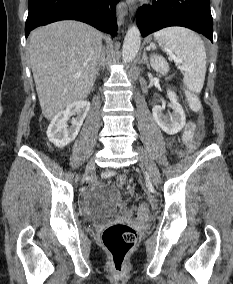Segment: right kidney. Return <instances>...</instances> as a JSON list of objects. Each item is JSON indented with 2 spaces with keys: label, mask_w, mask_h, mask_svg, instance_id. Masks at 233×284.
Returning <instances> with one entry per match:
<instances>
[{
  "label": "right kidney",
  "mask_w": 233,
  "mask_h": 284,
  "mask_svg": "<svg viewBox=\"0 0 233 284\" xmlns=\"http://www.w3.org/2000/svg\"><path fill=\"white\" fill-rule=\"evenodd\" d=\"M90 109L89 101H76L66 107L64 111L59 112L51 121L47 129V137L56 147L63 148L70 144L78 135L84 119ZM72 118L71 125L67 121Z\"/></svg>",
  "instance_id": "ca27d5eb"
}]
</instances>
